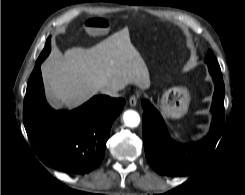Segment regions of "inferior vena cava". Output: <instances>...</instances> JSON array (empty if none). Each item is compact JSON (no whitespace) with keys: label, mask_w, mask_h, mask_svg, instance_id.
Returning <instances> with one entry per match:
<instances>
[{"label":"inferior vena cava","mask_w":245,"mask_h":195,"mask_svg":"<svg viewBox=\"0 0 245 195\" xmlns=\"http://www.w3.org/2000/svg\"><path fill=\"white\" fill-rule=\"evenodd\" d=\"M117 89H110V88H103L101 89V92L105 95L111 96V97H119V94L117 93Z\"/></svg>","instance_id":"inferior-vena-cava-1"}]
</instances>
